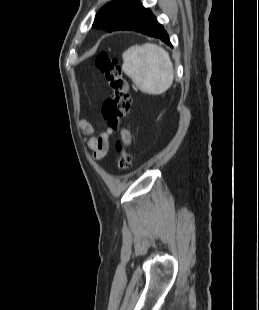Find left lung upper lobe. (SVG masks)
<instances>
[{"label": "left lung upper lobe", "instance_id": "left-lung-upper-lobe-1", "mask_svg": "<svg viewBox=\"0 0 259 310\" xmlns=\"http://www.w3.org/2000/svg\"><path fill=\"white\" fill-rule=\"evenodd\" d=\"M140 6L139 0H112L97 13L93 27L112 32L130 11Z\"/></svg>", "mask_w": 259, "mask_h": 310}]
</instances>
